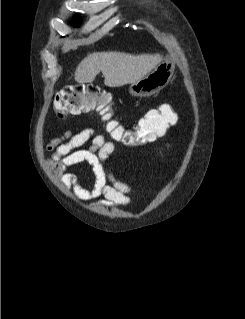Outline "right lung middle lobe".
Returning <instances> with one entry per match:
<instances>
[{
	"instance_id": "obj_1",
	"label": "right lung middle lobe",
	"mask_w": 245,
	"mask_h": 319,
	"mask_svg": "<svg viewBox=\"0 0 245 319\" xmlns=\"http://www.w3.org/2000/svg\"><path fill=\"white\" fill-rule=\"evenodd\" d=\"M72 25L74 26H79L80 25V17L78 15H75L73 18H72Z\"/></svg>"
}]
</instances>
